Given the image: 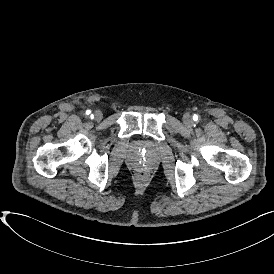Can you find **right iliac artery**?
Segmentation results:
<instances>
[{
    "label": "right iliac artery",
    "mask_w": 274,
    "mask_h": 274,
    "mask_svg": "<svg viewBox=\"0 0 274 274\" xmlns=\"http://www.w3.org/2000/svg\"><path fill=\"white\" fill-rule=\"evenodd\" d=\"M90 113H91V111H90V110H87V111H86V114H87V115H89Z\"/></svg>",
    "instance_id": "right-iliac-artery-1"
}]
</instances>
